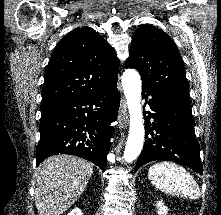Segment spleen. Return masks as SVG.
I'll use <instances>...</instances> for the list:
<instances>
[{"mask_svg": "<svg viewBox=\"0 0 221 215\" xmlns=\"http://www.w3.org/2000/svg\"><path fill=\"white\" fill-rule=\"evenodd\" d=\"M151 184L166 194L198 199L201 192L193 176L185 168L172 163L160 162L149 168Z\"/></svg>", "mask_w": 221, "mask_h": 215, "instance_id": "1", "label": "spleen"}]
</instances>
